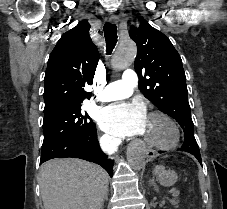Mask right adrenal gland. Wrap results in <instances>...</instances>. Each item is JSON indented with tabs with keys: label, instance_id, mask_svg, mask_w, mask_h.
<instances>
[{
	"label": "right adrenal gland",
	"instance_id": "obj_1",
	"mask_svg": "<svg viewBox=\"0 0 227 209\" xmlns=\"http://www.w3.org/2000/svg\"><path fill=\"white\" fill-rule=\"evenodd\" d=\"M104 201H108V193H106L105 197H104ZM104 205V203H103Z\"/></svg>",
	"mask_w": 227,
	"mask_h": 209
}]
</instances>
